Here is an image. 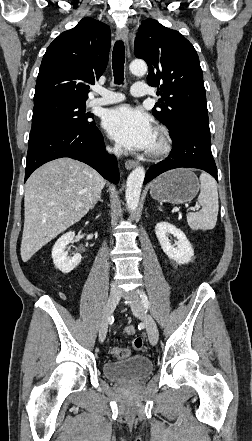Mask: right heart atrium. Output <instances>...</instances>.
<instances>
[{"label": "right heart atrium", "mask_w": 252, "mask_h": 441, "mask_svg": "<svg viewBox=\"0 0 252 441\" xmlns=\"http://www.w3.org/2000/svg\"><path fill=\"white\" fill-rule=\"evenodd\" d=\"M108 150L113 153L118 152V149L116 147H108Z\"/></svg>", "instance_id": "1"}]
</instances>
